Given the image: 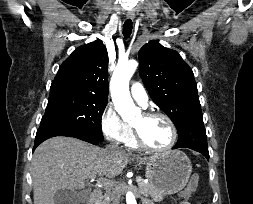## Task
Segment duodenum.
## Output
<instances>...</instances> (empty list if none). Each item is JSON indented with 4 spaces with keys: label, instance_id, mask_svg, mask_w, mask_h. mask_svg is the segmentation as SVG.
<instances>
[{
    "label": "duodenum",
    "instance_id": "1",
    "mask_svg": "<svg viewBox=\"0 0 253 204\" xmlns=\"http://www.w3.org/2000/svg\"><path fill=\"white\" fill-rule=\"evenodd\" d=\"M99 197H100V192L98 190H93L91 192L88 204H97Z\"/></svg>",
    "mask_w": 253,
    "mask_h": 204
}]
</instances>
